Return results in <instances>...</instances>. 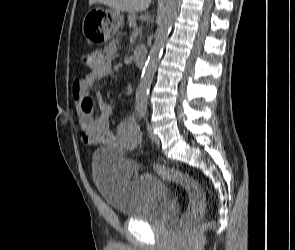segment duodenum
Wrapping results in <instances>:
<instances>
[{"label":"duodenum","mask_w":295,"mask_h":250,"mask_svg":"<svg viewBox=\"0 0 295 250\" xmlns=\"http://www.w3.org/2000/svg\"><path fill=\"white\" fill-rule=\"evenodd\" d=\"M135 61L138 66H144L147 59V52L143 48H136L134 52Z\"/></svg>","instance_id":"obj_1"}]
</instances>
